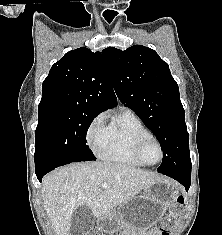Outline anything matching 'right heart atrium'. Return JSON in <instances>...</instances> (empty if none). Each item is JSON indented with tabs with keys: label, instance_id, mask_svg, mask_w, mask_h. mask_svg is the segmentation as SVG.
<instances>
[{
	"label": "right heart atrium",
	"instance_id": "1",
	"mask_svg": "<svg viewBox=\"0 0 222 235\" xmlns=\"http://www.w3.org/2000/svg\"><path fill=\"white\" fill-rule=\"evenodd\" d=\"M105 116L103 113L98 114L90 123L87 132L86 140L92 150L97 151L105 133Z\"/></svg>",
	"mask_w": 222,
	"mask_h": 235
}]
</instances>
